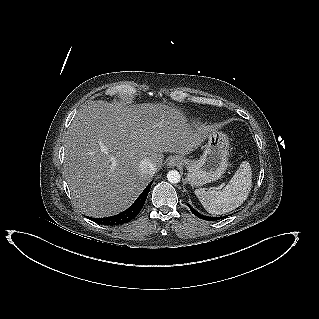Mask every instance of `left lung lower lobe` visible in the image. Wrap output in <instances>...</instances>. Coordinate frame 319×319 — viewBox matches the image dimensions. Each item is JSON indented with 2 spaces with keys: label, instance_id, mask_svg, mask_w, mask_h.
Wrapping results in <instances>:
<instances>
[{
  "label": "left lung lower lobe",
  "instance_id": "obj_1",
  "mask_svg": "<svg viewBox=\"0 0 319 319\" xmlns=\"http://www.w3.org/2000/svg\"><path fill=\"white\" fill-rule=\"evenodd\" d=\"M190 210L193 212V214H195L196 216H198L199 218L201 219H204V220H215V219H219V218H213V217H207V216H204L202 214H200L199 212H197L196 210H194L191 206H189ZM227 217V216H226ZM221 218H225L224 217H221Z\"/></svg>",
  "mask_w": 319,
  "mask_h": 319
}]
</instances>
